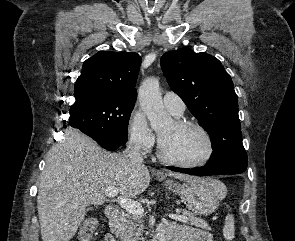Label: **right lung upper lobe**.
<instances>
[{
	"label": "right lung upper lobe",
	"instance_id": "obj_1",
	"mask_svg": "<svg viewBox=\"0 0 295 241\" xmlns=\"http://www.w3.org/2000/svg\"><path fill=\"white\" fill-rule=\"evenodd\" d=\"M141 57L137 53L100 51L87 59L75 82L76 100L102 95L136 100Z\"/></svg>",
	"mask_w": 295,
	"mask_h": 241
}]
</instances>
